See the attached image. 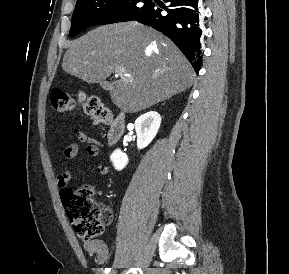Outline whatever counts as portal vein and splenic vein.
Returning <instances> with one entry per match:
<instances>
[{"label": "portal vein and splenic vein", "mask_w": 289, "mask_h": 274, "mask_svg": "<svg viewBox=\"0 0 289 274\" xmlns=\"http://www.w3.org/2000/svg\"><path fill=\"white\" fill-rule=\"evenodd\" d=\"M124 73H125V68L124 67L119 66V67L115 68V74L117 76H120L122 78L125 75Z\"/></svg>", "instance_id": "1"}]
</instances>
